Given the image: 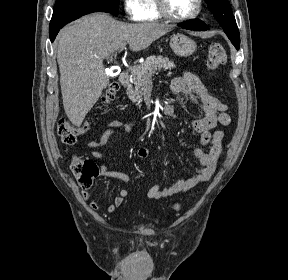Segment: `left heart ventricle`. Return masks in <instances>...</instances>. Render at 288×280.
Returning a JSON list of instances; mask_svg holds the SVG:
<instances>
[{
  "label": "left heart ventricle",
  "mask_w": 288,
  "mask_h": 280,
  "mask_svg": "<svg viewBox=\"0 0 288 280\" xmlns=\"http://www.w3.org/2000/svg\"><path fill=\"white\" fill-rule=\"evenodd\" d=\"M169 11L178 17L191 14L197 4V0H166Z\"/></svg>",
  "instance_id": "1"
}]
</instances>
